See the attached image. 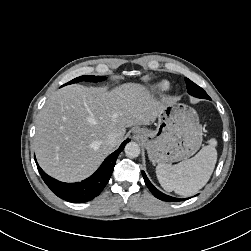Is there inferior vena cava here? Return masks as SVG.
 I'll use <instances>...</instances> for the list:
<instances>
[{"mask_svg":"<svg viewBox=\"0 0 251 251\" xmlns=\"http://www.w3.org/2000/svg\"><path fill=\"white\" fill-rule=\"evenodd\" d=\"M117 141V135L115 133H111L108 135L106 142L112 146L116 144Z\"/></svg>","mask_w":251,"mask_h":251,"instance_id":"inferior-vena-cava-1","label":"inferior vena cava"}]
</instances>
